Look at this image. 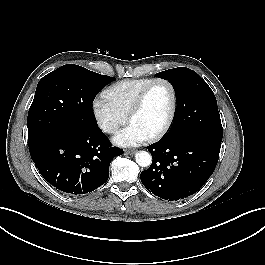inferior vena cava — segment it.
I'll return each mask as SVG.
<instances>
[{
  "mask_svg": "<svg viewBox=\"0 0 265 265\" xmlns=\"http://www.w3.org/2000/svg\"><path fill=\"white\" fill-rule=\"evenodd\" d=\"M109 130L112 132L113 131V128H110Z\"/></svg>",
  "mask_w": 265,
  "mask_h": 265,
  "instance_id": "602c4592",
  "label": "inferior vena cava"
}]
</instances>
